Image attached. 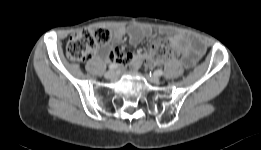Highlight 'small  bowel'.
<instances>
[{
	"mask_svg": "<svg viewBox=\"0 0 261 150\" xmlns=\"http://www.w3.org/2000/svg\"><path fill=\"white\" fill-rule=\"evenodd\" d=\"M128 33L129 43L131 45L140 44L145 38L153 35V30L149 26H132L129 29L118 27L112 31L111 43L118 44L121 42L123 36ZM169 43L175 49H181L184 52V65L190 67L195 60L204 52V45L201 41L185 37L180 34L173 35L169 38ZM102 55H107L122 64L131 63L133 66L138 67L144 60L142 53H124L117 48L103 47L100 50Z\"/></svg>",
	"mask_w": 261,
	"mask_h": 150,
	"instance_id": "1",
	"label": "small bowel"
}]
</instances>
